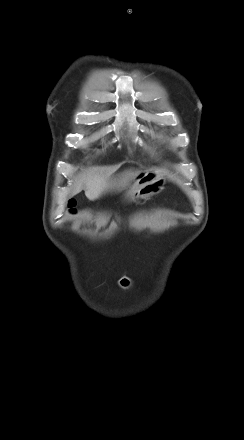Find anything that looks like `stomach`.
<instances>
[{
    "label": "stomach",
    "instance_id": "0dacf381",
    "mask_svg": "<svg viewBox=\"0 0 244 440\" xmlns=\"http://www.w3.org/2000/svg\"><path fill=\"white\" fill-rule=\"evenodd\" d=\"M165 180L157 171H144L138 173L126 191V197L130 200L138 198L146 199L164 189Z\"/></svg>",
    "mask_w": 244,
    "mask_h": 440
}]
</instances>
